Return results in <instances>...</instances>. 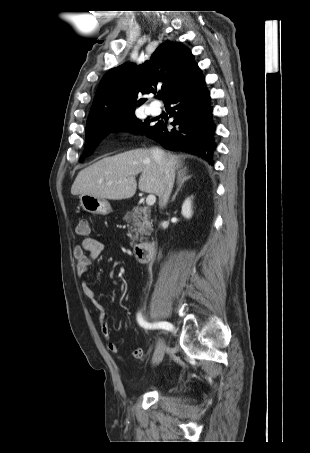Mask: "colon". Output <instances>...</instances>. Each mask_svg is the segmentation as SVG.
<instances>
[{
  "mask_svg": "<svg viewBox=\"0 0 310 453\" xmlns=\"http://www.w3.org/2000/svg\"><path fill=\"white\" fill-rule=\"evenodd\" d=\"M76 231L79 236H83V237L88 236L90 233V226H89L88 221L85 219L80 220L77 225Z\"/></svg>",
  "mask_w": 310,
  "mask_h": 453,
  "instance_id": "1",
  "label": "colon"
}]
</instances>
